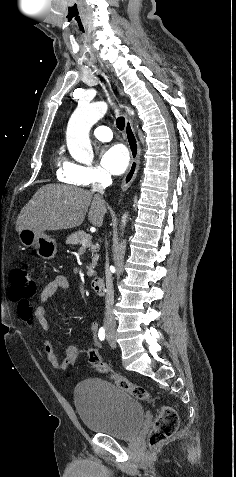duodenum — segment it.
<instances>
[{
    "label": "duodenum",
    "mask_w": 236,
    "mask_h": 477,
    "mask_svg": "<svg viewBox=\"0 0 236 477\" xmlns=\"http://www.w3.org/2000/svg\"><path fill=\"white\" fill-rule=\"evenodd\" d=\"M90 286L93 292L97 295H104L106 292V284L103 278L95 277L91 280Z\"/></svg>",
    "instance_id": "duodenum-1"
}]
</instances>
